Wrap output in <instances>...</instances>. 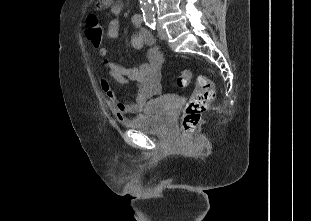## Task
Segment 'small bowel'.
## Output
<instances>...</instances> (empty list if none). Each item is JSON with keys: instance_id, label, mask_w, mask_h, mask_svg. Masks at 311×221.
Here are the masks:
<instances>
[{"instance_id": "c3829d8e", "label": "small bowel", "mask_w": 311, "mask_h": 221, "mask_svg": "<svg viewBox=\"0 0 311 221\" xmlns=\"http://www.w3.org/2000/svg\"><path fill=\"white\" fill-rule=\"evenodd\" d=\"M123 6L117 2L111 5L110 12L112 19L106 29V37L110 40L119 37L120 25L118 17ZM132 24L137 29L131 38V45L139 50L144 45L149 47L147 60L139 66H123L108 58L109 50L103 46L99 49V56L103 60V67L109 77L121 85L134 84L136 92L131 102L126 103L117 97L110 80L107 77L101 79V87L104 91L108 105L117 118L123 119L128 114H135L142 111L146 101L161 91V69L164 64V56L155 44L152 35L142 28L143 20L138 14L132 17Z\"/></svg>"}]
</instances>
